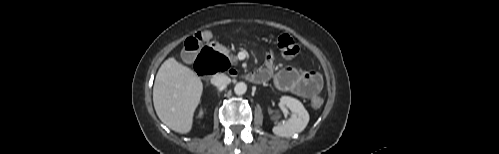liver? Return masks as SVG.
<instances>
[{
	"label": "liver",
	"instance_id": "6515ba94",
	"mask_svg": "<svg viewBox=\"0 0 499 154\" xmlns=\"http://www.w3.org/2000/svg\"><path fill=\"white\" fill-rule=\"evenodd\" d=\"M203 92L201 79L173 57L159 68L153 87V104L159 119L175 132L189 133Z\"/></svg>",
	"mask_w": 499,
	"mask_h": 154
}]
</instances>
